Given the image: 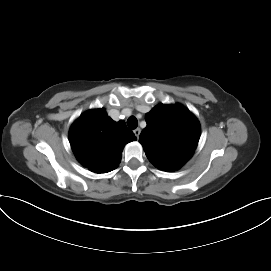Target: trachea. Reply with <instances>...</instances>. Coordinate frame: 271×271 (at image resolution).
Listing matches in <instances>:
<instances>
[{"label":"trachea","instance_id":"1","mask_svg":"<svg viewBox=\"0 0 271 271\" xmlns=\"http://www.w3.org/2000/svg\"><path fill=\"white\" fill-rule=\"evenodd\" d=\"M127 125L130 129H136L138 126V121L134 116H131L127 120Z\"/></svg>","mask_w":271,"mask_h":271}]
</instances>
